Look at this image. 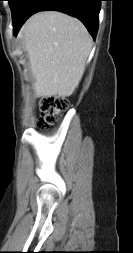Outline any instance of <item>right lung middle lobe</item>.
I'll return each mask as SVG.
<instances>
[{"mask_svg": "<svg viewBox=\"0 0 133 253\" xmlns=\"http://www.w3.org/2000/svg\"><path fill=\"white\" fill-rule=\"evenodd\" d=\"M8 1L12 11L13 24H15L19 18L20 10L25 0H8Z\"/></svg>", "mask_w": 133, "mask_h": 253, "instance_id": "1", "label": "right lung middle lobe"}]
</instances>
